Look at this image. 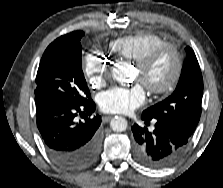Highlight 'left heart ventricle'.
<instances>
[{
	"label": "left heart ventricle",
	"mask_w": 223,
	"mask_h": 188,
	"mask_svg": "<svg viewBox=\"0 0 223 188\" xmlns=\"http://www.w3.org/2000/svg\"><path fill=\"white\" fill-rule=\"evenodd\" d=\"M173 64L172 54L166 51L146 72L141 73L136 68L135 78L140 80L144 86H162L169 80L173 71Z\"/></svg>",
	"instance_id": "1"
}]
</instances>
